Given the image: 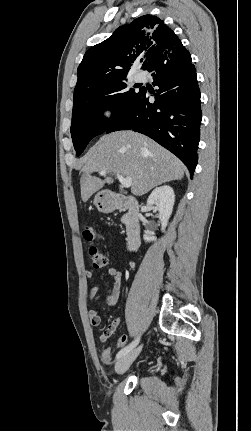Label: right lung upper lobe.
<instances>
[{"mask_svg": "<svg viewBox=\"0 0 251 431\" xmlns=\"http://www.w3.org/2000/svg\"><path fill=\"white\" fill-rule=\"evenodd\" d=\"M180 45L176 34L160 18L141 16L85 53L77 69L74 95L121 80L138 58L144 60L142 69H147L165 51Z\"/></svg>", "mask_w": 251, "mask_h": 431, "instance_id": "obj_1", "label": "right lung upper lobe"}]
</instances>
